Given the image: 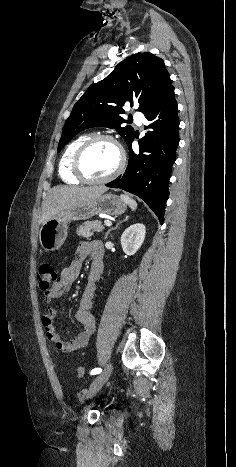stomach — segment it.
Wrapping results in <instances>:
<instances>
[{
	"mask_svg": "<svg viewBox=\"0 0 236 467\" xmlns=\"http://www.w3.org/2000/svg\"><path fill=\"white\" fill-rule=\"evenodd\" d=\"M126 209V202L114 194H104L90 202L67 207L42 226L40 244L47 252L58 250L67 238L69 222L86 220L98 214L121 215Z\"/></svg>",
	"mask_w": 236,
	"mask_h": 467,
	"instance_id": "0dacf381",
	"label": "stomach"
}]
</instances>
